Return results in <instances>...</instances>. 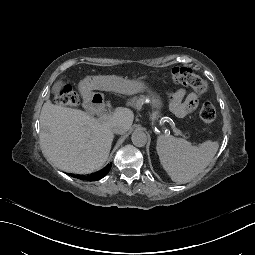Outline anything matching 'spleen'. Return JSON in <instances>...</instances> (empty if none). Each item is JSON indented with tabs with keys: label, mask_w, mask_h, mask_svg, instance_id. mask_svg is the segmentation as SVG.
Returning <instances> with one entry per match:
<instances>
[{
	"label": "spleen",
	"mask_w": 255,
	"mask_h": 255,
	"mask_svg": "<svg viewBox=\"0 0 255 255\" xmlns=\"http://www.w3.org/2000/svg\"><path fill=\"white\" fill-rule=\"evenodd\" d=\"M218 143L210 140L200 146L171 135H160L156 150L160 162L172 181L183 184L204 170L218 150Z\"/></svg>",
	"instance_id": "spleen-1"
}]
</instances>
